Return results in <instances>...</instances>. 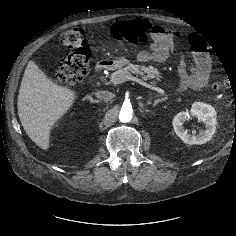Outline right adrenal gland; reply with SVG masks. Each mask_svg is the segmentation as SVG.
Instances as JSON below:
<instances>
[{
	"label": "right adrenal gland",
	"mask_w": 236,
	"mask_h": 236,
	"mask_svg": "<svg viewBox=\"0 0 236 236\" xmlns=\"http://www.w3.org/2000/svg\"><path fill=\"white\" fill-rule=\"evenodd\" d=\"M84 99H88L91 103H99V100H94L91 96H86Z\"/></svg>",
	"instance_id": "right-adrenal-gland-1"
}]
</instances>
